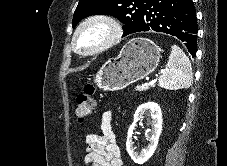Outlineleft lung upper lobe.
<instances>
[{
	"mask_svg": "<svg viewBox=\"0 0 227 166\" xmlns=\"http://www.w3.org/2000/svg\"><path fill=\"white\" fill-rule=\"evenodd\" d=\"M147 0H79L73 16V27L90 15L105 14L118 18L125 25L124 35L134 33L142 18Z\"/></svg>",
	"mask_w": 227,
	"mask_h": 166,
	"instance_id": "left-lung-upper-lobe-1",
	"label": "left lung upper lobe"
}]
</instances>
